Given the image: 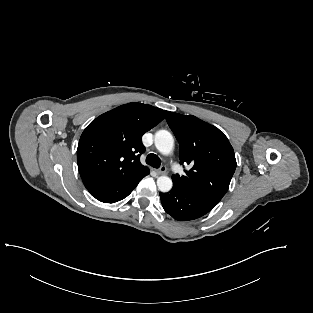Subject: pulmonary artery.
Segmentation results:
<instances>
[{"label":"pulmonary artery","mask_w":313,"mask_h":313,"mask_svg":"<svg viewBox=\"0 0 313 313\" xmlns=\"http://www.w3.org/2000/svg\"><path fill=\"white\" fill-rule=\"evenodd\" d=\"M173 169H174L175 172L179 171V167L177 165H174Z\"/></svg>","instance_id":"e3ab8cb5"}]
</instances>
